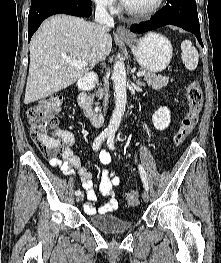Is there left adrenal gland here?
Instances as JSON below:
<instances>
[{"instance_id": "left-adrenal-gland-1", "label": "left adrenal gland", "mask_w": 221, "mask_h": 263, "mask_svg": "<svg viewBox=\"0 0 221 263\" xmlns=\"http://www.w3.org/2000/svg\"><path fill=\"white\" fill-rule=\"evenodd\" d=\"M132 77H133V80L136 81V84H137L138 86H145V84L142 83L140 80H136V77H135L134 75H132Z\"/></svg>"}]
</instances>
